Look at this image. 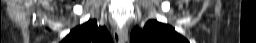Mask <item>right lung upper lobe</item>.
Returning <instances> with one entry per match:
<instances>
[{
	"label": "right lung upper lobe",
	"mask_w": 256,
	"mask_h": 43,
	"mask_svg": "<svg viewBox=\"0 0 256 43\" xmlns=\"http://www.w3.org/2000/svg\"><path fill=\"white\" fill-rule=\"evenodd\" d=\"M61 43H112L106 27H98L96 20H89L73 29Z\"/></svg>",
	"instance_id": "obj_1"
}]
</instances>
